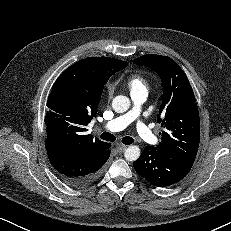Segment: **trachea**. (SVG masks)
<instances>
[{
  "mask_svg": "<svg viewBox=\"0 0 231 231\" xmlns=\"http://www.w3.org/2000/svg\"><path fill=\"white\" fill-rule=\"evenodd\" d=\"M100 138L105 141L114 142L116 140V137L109 133V132H103L100 134ZM134 142V139L132 137L126 136L122 139V143L125 145H130Z\"/></svg>",
  "mask_w": 231,
  "mask_h": 231,
  "instance_id": "1",
  "label": "trachea"
}]
</instances>
